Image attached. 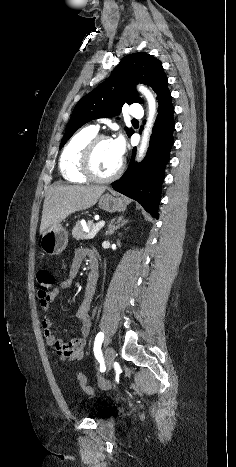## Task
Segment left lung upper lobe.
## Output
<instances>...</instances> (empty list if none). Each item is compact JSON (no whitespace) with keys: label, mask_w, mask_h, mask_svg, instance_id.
Listing matches in <instances>:
<instances>
[{"label":"left lung upper lobe","mask_w":236,"mask_h":467,"mask_svg":"<svg viewBox=\"0 0 236 467\" xmlns=\"http://www.w3.org/2000/svg\"><path fill=\"white\" fill-rule=\"evenodd\" d=\"M137 82L151 86L158 99L167 89V77L161 62L152 55L141 52L122 58L109 79L77 103L66 126L60 149L85 123L118 115L124 103H142L135 90ZM125 130L129 137L134 132L132 129Z\"/></svg>","instance_id":"left-lung-upper-lobe-1"}]
</instances>
